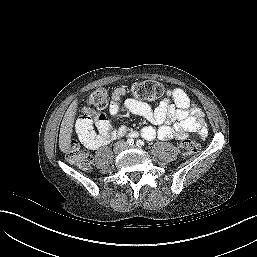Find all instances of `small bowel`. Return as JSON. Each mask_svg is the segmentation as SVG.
<instances>
[{
    "label": "small bowel",
    "mask_w": 257,
    "mask_h": 257,
    "mask_svg": "<svg viewBox=\"0 0 257 257\" xmlns=\"http://www.w3.org/2000/svg\"><path fill=\"white\" fill-rule=\"evenodd\" d=\"M126 91L116 88L111 96L109 113L117 118L121 111L122 98ZM124 107L134 115L141 116L149 122L159 125L157 129L146 126L140 134L146 140L159 138L161 140L186 138L190 133H197L200 137L207 135V128L203 122V113L179 88L166 92L158 106L152 108L145 102L129 98L123 102ZM94 127L97 131L94 130ZM128 129L125 125L113 127L110 120L103 114H90L85 110L76 122V132L80 141L89 149H98L110 141L124 136Z\"/></svg>",
    "instance_id": "c3829d8e"
}]
</instances>
